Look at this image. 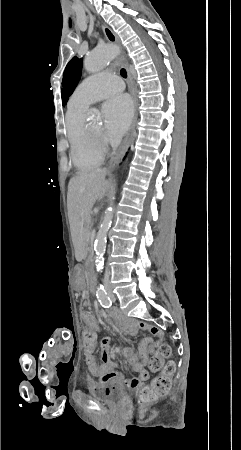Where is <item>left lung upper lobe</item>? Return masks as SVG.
Returning a JSON list of instances; mask_svg holds the SVG:
<instances>
[{"mask_svg":"<svg viewBox=\"0 0 241 450\" xmlns=\"http://www.w3.org/2000/svg\"><path fill=\"white\" fill-rule=\"evenodd\" d=\"M82 71V59L73 57L67 64L66 69L63 74L62 80V101L63 105L66 104L69 96L73 93L75 87L77 86Z\"/></svg>","mask_w":241,"mask_h":450,"instance_id":"left-lung-upper-lobe-1","label":"left lung upper lobe"}]
</instances>
